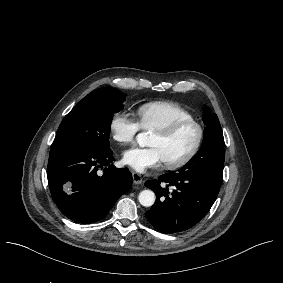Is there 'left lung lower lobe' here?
Listing matches in <instances>:
<instances>
[{"label": "left lung lower lobe", "mask_w": 283, "mask_h": 283, "mask_svg": "<svg viewBox=\"0 0 283 283\" xmlns=\"http://www.w3.org/2000/svg\"><path fill=\"white\" fill-rule=\"evenodd\" d=\"M166 184V187H165ZM145 185L156 194V202L146 218L165 233L185 231L197 224L210 210L220 186L205 174L172 172L149 180ZM173 187V191H169Z\"/></svg>", "instance_id": "left-lung-lower-lobe-1"}]
</instances>
